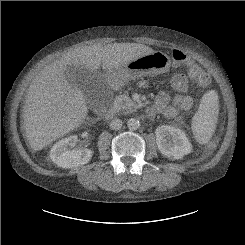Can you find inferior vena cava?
Returning a JSON list of instances; mask_svg holds the SVG:
<instances>
[{
  "label": "inferior vena cava",
  "instance_id": "obj_1",
  "mask_svg": "<svg viewBox=\"0 0 245 245\" xmlns=\"http://www.w3.org/2000/svg\"><path fill=\"white\" fill-rule=\"evenodd\" d=\"M122 127V121L119 118L113 119L110 123V128L113 130H119Z\"/></svg>",
  "mask_w": 245,
  "mask_h": 245
}]
</instances>
